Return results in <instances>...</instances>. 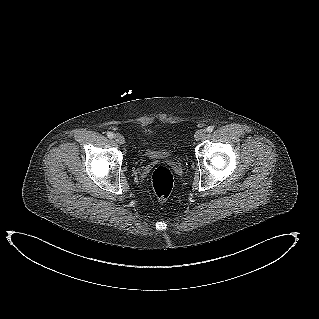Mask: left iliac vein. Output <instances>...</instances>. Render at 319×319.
Instances as JSON below:
<instances>
[{"mask_svg":"<svg viewBox=\"0 0 319 319\" xmlns=\"http://www.w3.org/2000/svg\"><path fill=\"white\" fill-rule=\"evenodd\" d=\"M206 135V131L205 130H198V131H196V133H195V140H201V139H203L204 138V136Z\"/></svg>","mask_w":319,"mask_h":319,"instance_id":"obj_1","label":"left iliac vein"}]
</instances>
